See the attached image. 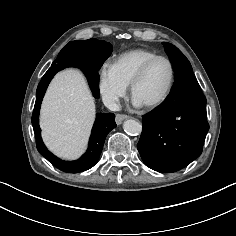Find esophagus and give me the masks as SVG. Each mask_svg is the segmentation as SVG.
Masks as SVG:
<instances>
[{
	"label": "esophagus",
	"instance_id": "34e87169",
	"mask_svg": "<svg viewBox=\"0 0 236 236\" xmlns=\"http://www.w3.org/2000/svg\"><path fill=\"white\" fill-rule=\"evenodd\" d=\"M129 116L128 115H125V114H117L116 115V124L117 125H120L122 123L123 120L127 119Z\"/></svg>",
	"mask_w": 236,
	"mask_h": 236
}]
</instances>
